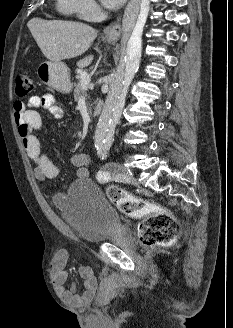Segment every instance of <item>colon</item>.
Wrapping results in <instances>:
<instances>
[{
    "label": "colon",
    "mask_w": 233,
    "mask_h": 328,
    "mask_svg": "<svg viewBox=\"0 0 233 328\" xmlns=\"http://www.w3.org/2000/svg\"><path fill=\"white\" fill-rule=\"evenodd\" d=\"M33 89V76L24 71L18 72L15 76L16 95L26 97ZM107 196L123 214L132 218L143 219L138 230V236L145 246H164L177 238L179 224L170 212L116 186L107 189Z\"/></svg>",
    "instance_id": "colon-1"
}]
</instances>
